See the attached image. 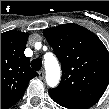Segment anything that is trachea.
Segmentation results:
<instances>
[{"label":"trachea","mask_w":109,"mask_h":109,"mask_svg":"<svg viewBox=\"0 0 109 109\" xmlns=\"http://www.w3.org/2000/svg\"><path fill=\"white\" fill-rule=\"evenodd\" d=\"M31 67L33 68V70L39 71L42 67V61L40 59L32 60Z\"/></svg>","instance_id":"trachea-1"}]
</instances>
